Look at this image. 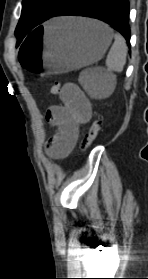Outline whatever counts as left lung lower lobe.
<instances>
[{"label": "left lung lower lobe", "instance_id": "left-lung-lower-lobe-1", "mask_svg": "<svg viewBox=\"0 0 148 279\" xmlns=\"http://www.w3.org/2000/svg\"><path fill=\"white\" fill-rule=\"evenodd\" d=\"M66 15L102 20L119 31L130 47L129 0H68L52 17Z\"/></svg>", "mask_w": 148, "mask_h": 279}]
</instances>
